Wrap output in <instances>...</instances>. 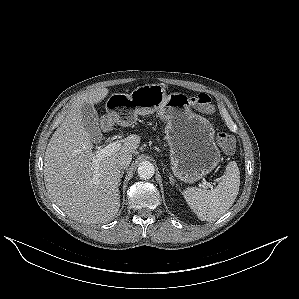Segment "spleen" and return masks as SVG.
<instances>
[{
    "label": "spleen",
    "mask_w": 299,
    "mask_h": 299,
    "mask_svg": "<svg viewBox=\"0 0 299 299\" xmlns=\"http://www.w3.org/2000/svg\"><path fill=\"white\" fill-rule=\"evenodd\" d=\"M240 186V172L236 162H230L221 182L214 190L186 188L183 196L201 221H215L234 203Z\"/></svg>",
    "instance_id": "obj_1"
}]
</instances>
